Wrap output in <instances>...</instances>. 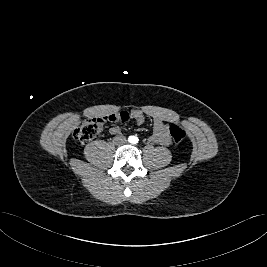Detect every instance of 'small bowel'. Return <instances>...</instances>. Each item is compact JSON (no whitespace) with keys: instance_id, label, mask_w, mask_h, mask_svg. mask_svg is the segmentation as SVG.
I'll return each instance as SVG.
<instances>
[{"instance_id":"small-bowel-1","label":"small bowel","mask_w":267,"mask_h":267,"mask_svg":"<svg viewBox=\"0 0 267 267\" xmlns=\"http://www.w3.org/2000/svg\"><path fill=\"white\" fill-rule=\"evenodd\" d=\"M127 114V119H132L137 124H143L147 114L143 110H132L131 112H125ZM114 113L108 114L105 117H109L113 115ZM153 118V133L150 137V140L153 143L168 146L171 143V136L169 133V125L168 121H171V118L169 116L165 115H158L153 114L151 115ZM109 132L113 135H117L121 132V129L119 126L114 125L109 129Z\"/></svg>"}]
</instances>
